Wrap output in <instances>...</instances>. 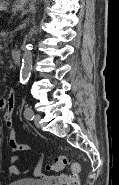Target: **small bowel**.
Segmentation results:
<instances>
[{
	"label": "small bowel",
	"mask_w": 119,
	"mask_h": 185,
	"mask_svg": "<svg viewBox=\"0 0 119 185\" xmlns=\"http://www.w3.org/2000/svg\"><path fill=\"white\" fill-rule=\"evenodd\" d=\"M15 106V92L11 90L6 98L0 99V109L4 111L3 118L10 128L9 134V152L14 153L16 151L30 152L31 147L27 144H21L16 141V133L14 128L12 127L13 121V113ZM23 159L22 156L14 155L10 158L11 163L19 162ZM28 170H20L15 165H10L9 172L11 174H20L25 173ZM34 174L36 176H41V160L35 168ZM44 180L48 182L50 185H64L68 179V175L60 174L57 176H43Z\"/></svg>",
	"instance_id": "1"
}]
</instances>
